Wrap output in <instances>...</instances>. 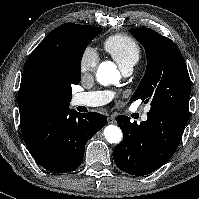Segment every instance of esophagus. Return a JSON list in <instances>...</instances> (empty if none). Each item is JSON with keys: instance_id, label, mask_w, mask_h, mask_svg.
<instances>
[{"instance_id": "1", "label": "esophagus", "mask_w": 199, "mask_h": 199, "mask_svg": "<svg viewBox=\"0 0 199 199\" xmlns=\"http://www.w3.org/2000/svg\"><path fill=\"white\" fill-rule=\"evenodd\" d=\"M108 123L109 124H114L115 123V119L113 117H108Z\"/></svg>"}]
</instances>
